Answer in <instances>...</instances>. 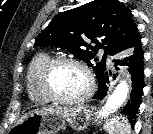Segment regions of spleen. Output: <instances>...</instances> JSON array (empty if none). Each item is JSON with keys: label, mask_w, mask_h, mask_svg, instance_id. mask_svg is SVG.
Listing matches in <instances>:
<instances>
[{"label": "spleen", "mask_w": 153, "mask_h": 134, "mask_svg": "<svg viewBox=\"0 0 153 134\" xmlns=\"http://www.w3.org/2000/svg\"><path fill=\"white\" fill-rule=\"evenodd\" d=\"M105 129L109 134H131V126L127 118L122 115L113 117L106 124Z\"/></svg>", "instance_id": "1"}]
</instances>
